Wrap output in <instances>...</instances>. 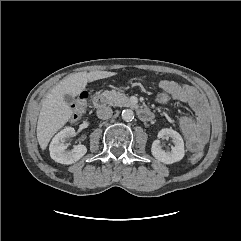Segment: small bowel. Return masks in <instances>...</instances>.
Segmentation results:
<instances>
[{"label":"small bowel","instance_id":"small-bowel-1","mask_svg":"<svg viewBox=\"0 0 241 241\" xmlns=\"http://www.w3.org/2000/svg\"><path fill=\"white\" fill-rule=\"evenodd\" d=\"M156 85L167 91L172 99L186 103L193 110L194 118L182 116L179 126L187 148L192 152H199L208 141L210 132L207 108L202 96L194 87L171 80H160Z\"/></svg>","mask_w":241,"mask_h":241}]
</instances>
